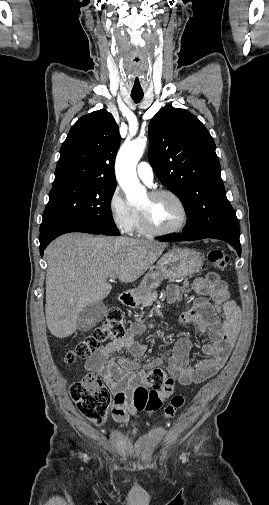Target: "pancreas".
I'll list each match as a JSON object with an SVG mask.
<instances>
[{
	"label": "pancreas",
	"instance_id": "pancreas-1",
	"mask_svg": "<svg viewBox=\"0 0 269 505\" xmlns=\"http://www.w3.org/2000/svg\"><path fill=\"white\" fill-rule=\"evenodd\" d=\"M153 295H157L156 291H149L144 294V296L142 297V302H141L143 307L149 305L150 299Z\"/></svg>",
	"mask_w": 269,
	"mask_h": 505
}]
</instances>
